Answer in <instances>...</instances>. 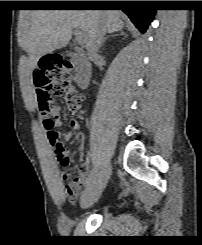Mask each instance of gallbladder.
Listing matches in <instances>:
<instances>
[{
  "mask_svg": "<svg viewBox=\"0 0 202 245\" xmlns=\"http://www.w3.org/2000/svg\"><path fill=\"white\" fill-rule=\"evenodd\" d=\"M67 55H68V56H74L75 53H73V52H67Z\"/></svg>",
  "mask_w": 202,
  "mask_h": 245,
  "instance_id": "obj_1",
  "label": "gallbladder"
}]
</instances>
